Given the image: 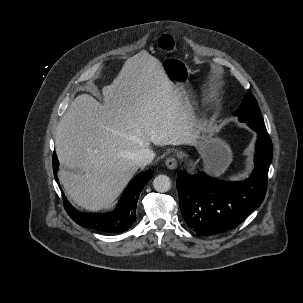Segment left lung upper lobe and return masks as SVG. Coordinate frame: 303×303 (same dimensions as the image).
<instances>
[{"instance_id": "obj_1", "label": "left lung upper lobe", "mask_w": 303, "mask_h": 303, "mask_svg": "<svg viewBox=\"0 0 303 303\" xmlns=\"http://www.w3.org/2000/svg\"><path fill=\"white\" fill-rule=\"evenodd\" d=\"M239 117V121L246 122L247 124H254L263 130H266L264 120L260 113L259 106L253 95L247 94L235 113Z\"/></svg>"}]
</instances>
